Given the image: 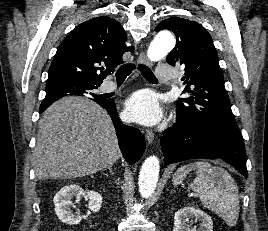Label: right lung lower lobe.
<instances>
[{
    "label": "right lung lower lobe",
    "mask_w": 268,
    "mask_h": 231,
    "mask_svg": "<svg viewBox=\"0 0 268 231\" xmlns=\"http://www.w3.org/2000/svg\"><path fill=\"white\" fill-rule=\"evenodd\" d=\"M111 116L119 141L121 152L129 163H135L140 159L145 150V138L142 133L131 126L124 125L117 115L115 104L112 100L94 99ZM42 113L43 111H39Z\"/></svg>",
    "instance_id": "right-lung-lower-lobe-1"
}]
</instances>
